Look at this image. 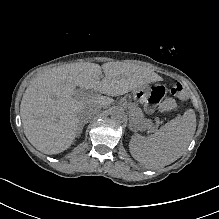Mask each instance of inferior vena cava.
<instances>
[{"label":"inferior vena cava","instance_id":"1","mask_svg":"<svg viewBox=\"0 0 219 219\" xmlns=\"http://www.w3.org/2000/svg\"><path fill=\"white\" fill-rule=\"evenodd\" d=\"M97 111L94 106L88 105L78 110L77 116L80 121L86 122L96 117Z\"/></svg>","mask_w":219,"mask_h":219}]
</instances>
